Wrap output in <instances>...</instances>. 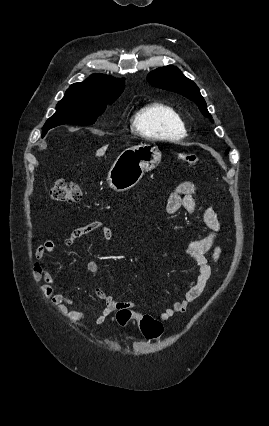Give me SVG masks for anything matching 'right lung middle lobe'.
Wrapping results in <instances>:
<instances>
[{
    "instance_id": "obj_1",
    "label": "right lung middle lobe",
    "mask_w": 269,
    "mask_h": 426,
    "mask_svg": "<svg viewBox=\"0 0 269 426\" xmlns=\"http://www.w3.org/2000/svg\"><path fill=\"white\" fill-rule=\"evenodd\" d=\"M116 98L92 97L82 94H65L56 107V113L45 123L42 133L49 129L63 125H90L95 123L106 109L107 104H112Z\"/></svg>"
}]
</instances>
